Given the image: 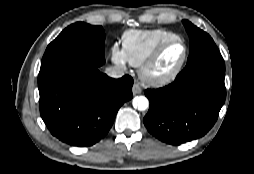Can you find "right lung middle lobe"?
<instances>
[{
    "instance_id": "dd1d6c3e",
    "label": "right lung middle lobe",
    "mask_w": 254,
    "mask_h": 174,
    "mask_svg": "<svg viewBox=\"0 0 254 174\" xmlns=\"http://www.w3.org/2000/svg\"><path fill=\"white\" fill-rule=\"evenodd\" d=\"M105 33L101 26L77 22L65 28L47 47L38 82L72 67H100L105 63Z\"/></svg>"
}]
</instances>
